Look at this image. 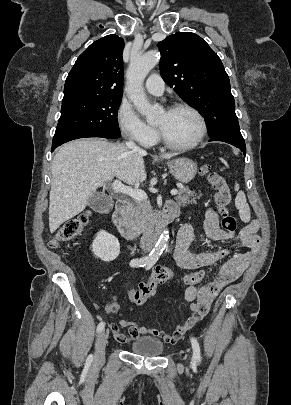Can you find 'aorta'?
<instances>
[{"label":"aorta","mask_w":291,"mask_h":405,"mask_svg":"<svg viewBox=\"0 0 291 405\" xmlns=\"http://www.w3.org/2000/svg\"><path fill=\"white\" fill-rule=\"evenodd\" d=\"M160 59L157 50L148 51L142 55L131 57L127 70V93L138 112L145 116L147 121H153L158 115V109L152 106L145 95L143 82L148 73L158 64ZM168 231H164L154 248L148 255L151 261H157L163 253L168 241Z\"/></svg>","instance_id":"aorta-1"}]
</instances>
